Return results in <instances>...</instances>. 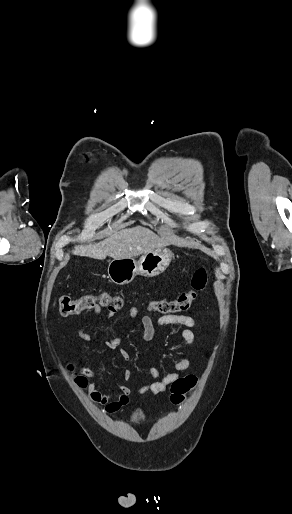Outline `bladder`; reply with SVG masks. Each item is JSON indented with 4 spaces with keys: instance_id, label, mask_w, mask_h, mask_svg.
Returning a JSON list of instances; mask_svg holds the SVG:
<instances>
[{
    "instance_id": "obj_1",
    "label": "bladder",
    "mask_w": 292,
    "mask_h": 514,
    "mask_svg": "<svg viewBox=\"0 0 292 514\" xmlns=\"http://www.w3.org/2000/svg\"><path fill=\"white\" fill-rule=\"evenodd\" d=\"M145 418V414L143 412V410L141 409H136L133 413H132V416H131V419L132 421L134 422H138V421H141Z\"/></svg>"
}]
</instances>
